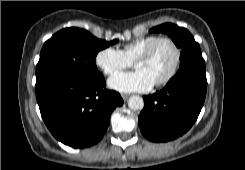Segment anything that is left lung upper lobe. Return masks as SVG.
I'll return each instance as SVG.
<instances>
[{"instance_id":"obj_1","label":"left lung upper lobe","mask_w":245,"mask_h":170,"mask_svg":"<svg viewBox=\"0 0 245 170\" xmlns=\"http://www.w3.org/2000/svg\"><path fill=\"white\" fill-rule=\"evenodd\" d=\"M150 32L167 34L175 45L181 48L179 71L196 70L205 72V61L202 57L199 44L187 29L166 23L152 28Z\"/></svg>"}]
</instances>
